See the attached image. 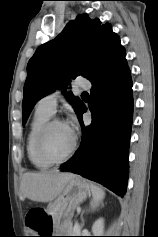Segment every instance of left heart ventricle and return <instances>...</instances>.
I'll use <instances>...</instances> for the list:
<instances>
[{"label":"left heart ventricle","instance_id":"b2bd125f","mask_svg":"<svg viewBox=\"0 0 158 237\" xmlns=\"http://www.w3.org/2000/svg\"><path fill=\"white\" fill-rule=\"evenodd\" d=\"M73 136L65 124H56L52 127L46 140L47 151L54 157L64 156L72 145Z\"/></svg>","mask_w":158,"mask_h":237}]
</instances>
